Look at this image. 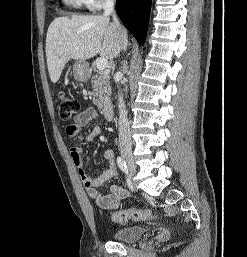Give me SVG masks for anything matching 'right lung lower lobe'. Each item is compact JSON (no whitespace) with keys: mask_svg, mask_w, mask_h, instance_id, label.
Instances as JSON below:
<instances>
[{"mask_svg":"<svg viewBox=\"0 0 247 257\" xmlns=\"http://www.w3.org/2000/svg\"><path fill=\"white\" fill-rule=\"evenodd\" d=\"M151 0H117L116 11L129 32L144 44Z\"/></svg>","mask_w":247,"mask_h":257,"instance_id":"98d812e1","label":"right lung lower lobe"}]
</instances>
